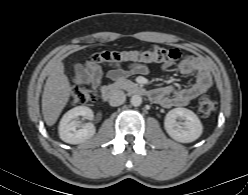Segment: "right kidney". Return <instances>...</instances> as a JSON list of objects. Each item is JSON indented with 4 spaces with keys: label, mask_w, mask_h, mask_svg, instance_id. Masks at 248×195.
<instances>
[{
    "label": "right kidney",
    "mask_w": 248,
    "mask_h": 195,
    "mask_svg": "<svg viewBox=\"0 0 248 195\" xmlns=\"http://www.w3.org/2000/svg\"><path fill=\"white\" fill-rule=\"evenodd\" d=\"M92 119L93 111L86 106L75 107L64 114L59 124L61 140L69 144H80L94 136L96 129L92 123L81 124L78 118Z\"/></svg>",
    "instance_id": "right-kidney-1"
}]
</instances>
